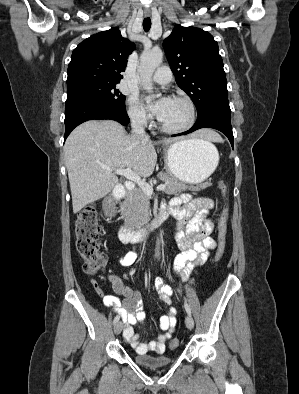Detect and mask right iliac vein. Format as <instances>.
I'll return each mask as SVG.
<instances>
[{
    "mask_svg": "<svg viewBox=\"0 0 299 394\" xmlns=\"http://www.w3.org/2000/svg\"><path fill=\"white\" fill-rule=\"evenodd\" d=\"M123 328V323L121 321L117 322L114 326V332L116 335L120 334Z\"/></svg>",
    "mask_w": 299,
    "mask_h": 394,
    "instance_id": "obj_1",
    "label": "right iliac vein"
}]
</instances>
